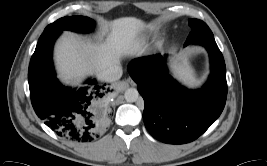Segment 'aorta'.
I'll list each match as a JSON object with an SVG mask.
<instances>
[{
    "label": "aorta",
    "instance_id": "obj_1",
    "mask_svg": "<svg viewBox=\"0 0 267 166\" xmlns=\"http://www.w3.org/2000/svg\"><path fill=\"white\" fill-rule=\"evenodd\" d=\"M124 97L127 102H136L139 98V92L135 88H128L125 91Z\"/></svg>",
    "mask_w": 267,
    "mask_h": 166
}]
</instances>
